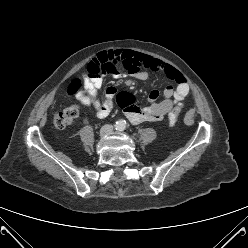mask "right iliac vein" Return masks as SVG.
Returning a JSON list of instances; mask_svg holds the SVG:
<instances>
[{
  "label": "right iliac vein",
  "instance_id": "right-iliac-vein-1",
  "mask_svg": "<svg viewBox=\"0 0 248 248\" xmlns=\"http://www.w3.org/2000/svg\"><path fill=\"white\" fill-rule=\"evenodd\" d=\"M106 136V130L104 129V130H101V132H100V137L101 138H104Z\"/></svg>",
  "mask_w": 248,
  "mask_h": 248
}]
</instances>
